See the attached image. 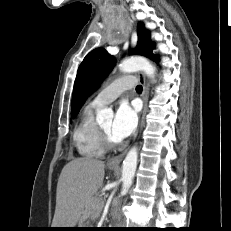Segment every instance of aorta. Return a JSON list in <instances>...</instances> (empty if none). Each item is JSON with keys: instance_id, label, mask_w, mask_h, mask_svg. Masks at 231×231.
Returning a JSON list of instances; mask_svg holds the SVG:
<instances>
[{"instance_id": "1", "label": "aorta", "mask_w": 231, "mask_h": 231, "mask_svg": "<svg viewBox=\"0 0 231 231\" xmlns=\"http://www.w3.org/2000/svg\"><path fill=\"white\" fill-rule=\"evenodd\" d=\"M120 70L124 73H131L135 71H143L149 78L154 79V66L143 57H132L124 60L120 65ZM113 112L110 109H102L97 112V121L104 119H111ZM138 149L136 146L132 147L127 153L122 165V192H127L132 185V181L137 168Z\"/></svg>"}]
</instances>
